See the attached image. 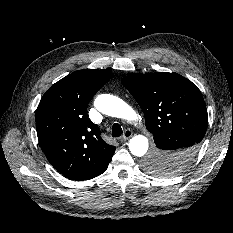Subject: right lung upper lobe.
I'll return each mask as SVG.
<instances>
[{
	"mask_svg": "<svg viewBox=\"0 0 233 233\" xmlns=\"http://www.w3.org/2000/svg\"><path fill=\"white\" fill-rule=\"evenodd\" d=\"M111 77L108 70L76 71L52 85L38 105L40 145L50 164L69 179L99 175L115 152L87 116L91 98Z\"/></svg>",
	"mask_w": 233,
	"mask_h": 233,
	"instance_id": "1",
	"label": "right lung upper lobe"
}]
</instances>
